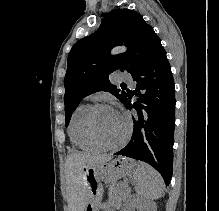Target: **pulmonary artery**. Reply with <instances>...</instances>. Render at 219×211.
Masks as SVG:
<instances>
[{
    "mask_svg": "<svg viewBox=\"0 0 219 211\" xmlns=\"http://www.w3.org/2000/svg\"><path fill=\"white\" fill-rule=\"evenodd\" d=\"M129 78H130L129 75H120L119 76L120 80H129Z\"/></svg>",
    "mask_w": 219,
    "mask_h": 211,
    "instance_id": "obj_1",
    "label": "pulmonary artery"
}]
</instances>
